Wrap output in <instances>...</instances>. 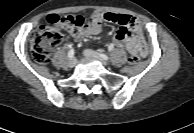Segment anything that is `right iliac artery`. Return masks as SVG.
<instances>
[{
    "label": "right iliac artery",
    "mask_w": 194,
    "mask_h": 133,
    "mask_svg": "<svg viewBox=\"0 0 194 133\" xmlns=\"http://www.w3.org/2000/svg\"><path fill=\"white\" fill-rule=\"evenodd\" d=\"M74 49L72 48V49H70L69 51H68V57L71 59V58H73L74 57Z\"/></svg>",
    "instance_id": "obj_1"
}]
</instances>
